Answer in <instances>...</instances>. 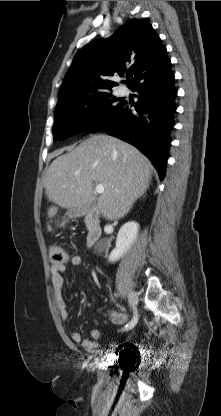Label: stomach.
Returning a JSON list of instances; mask_svg holds the SVG:
<instances>
[{
	"label": "stomach",
	"mask_w": 221,
	"mask_h": 416,
	"mask_svg": "<svg viewBox=\"0 0 221 416\" xmlns=\"http://www.w3.org/2000/svg\"><path fill=\"white\" fill-rule=\"evenodd\" d=\"M65 225V221H63V223H62V226H64Z\"/></svg>",
	"instance_id": "0dacf381"
}]
</instances>
